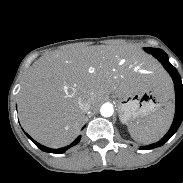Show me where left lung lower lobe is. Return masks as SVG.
Segmentation results:
<instances>
[{
	"label": "left lung lower lobe",
	"mask_w": 183,
	"mask_h": 183,
	"mask_svg": "<svg viewBox=\"0 0 183 183\" xmlns=\"http://www.w3.org/2000/svg\"><path fill=\"white\" fill-rule=\"evenodd\" d=\"M150 54H152L155 58H157L161 62V64L164 66V68L172 77L175 88L176 104H175L174 120L167 134L160 141L148 146L141 147L142 150L157 148L165 144V142L168 141L177 131L183 120V85L180 75L176 70V68L169 62L168 56L163 50L152 49Z\"/></svg>",
	"instance_id": "1"
}]
</instances>
